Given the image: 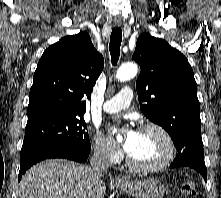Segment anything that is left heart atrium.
I'll use <instances>...</instances> for the list:
<instances>
[{"instance_id":"obj_1","label":"left heart atrium","mask_w":221,"mask_h":198,"mask_svg":"<svg viewBox=\"0 0 221 198\" xmlns=\"http://www.w3.org/2000/svg\"><path fill=\"white\" fill-rule=\"evenodd\" d=\"M118 131L119 130L117 128H112L110 130V133L111 135H114ZM122 133H123V142L121 144V147L125 152L129 153L137 139L138 132L131 127H127L122 131Z\"/></svg>"}]
</instances>
